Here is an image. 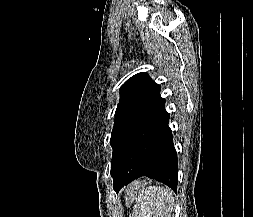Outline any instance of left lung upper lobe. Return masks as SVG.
I'll list each match as a JSON object with an SVG mask.
<instances>
[{
	"label": "left lung upper lobe",
	"mask_w": 253,
	"mask_h": 217,
	"mask_svg": "<svg viewBox=\"0 0 253 217\" xmlns=\"http://www.w3.org/2000/svg\"><path fill=\"white\" fill-rule=\"evenodd\" d=\"M160 86L147 73H138L121 87V98L115 112V123L110 143L112 162L117 148L134 123L161 100Z\"/></svg>",
	"instance_id": "1"
}]
</instances>
